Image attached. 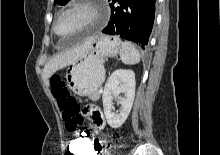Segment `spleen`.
I'll list each match as a JSON object with an SVG mask.
<instances>
[{
	"label": "spleen",
	"instance_id": "1",
	"mask_svg": "<svg viewBox=\"0 0 220 155\" xmlns=\"http://www.w3.org/2000/svg\"><path fill=\"white\" fill-rule=\"evenodd\" d=\"M121 61L126 65H134L140 62V54L136 48L128 41L121 44L120 49Z\"/></svg>",
	"mask_w": 220,
	"mask_h": 155
}]
</instances>
